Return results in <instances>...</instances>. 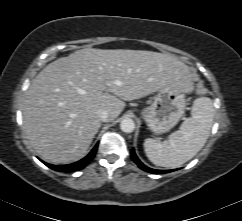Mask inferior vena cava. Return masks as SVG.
Returning a JSON list of instances; mask_svg holds the SVG:
<instances>
[{
  "mask_svg": "<svg viewBox=\"0 0 242 221\" xmlns=\"http://www.w3.org/2000/svg\"><path fill=\"white\" fill-rule=\"evenodd\" d=\"M97 116L103 122L109 121V112L107 110H103V109L98 110Z\"/></svg>",
  "mask_w": 242,
  "mask_h": 221,
  "instance_id": "1",
  "label": "inferior vena cava"
}]
</instances>
